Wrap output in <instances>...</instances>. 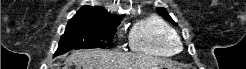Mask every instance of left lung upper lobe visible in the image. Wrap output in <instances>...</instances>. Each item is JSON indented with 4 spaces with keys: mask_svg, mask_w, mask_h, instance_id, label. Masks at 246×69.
Here are the masks:
<instances>
[{
    "mask_svg": "<svg viewBox=\"0 0 246 69\" xmlns=\"http://www.w3.org/2000/svg\"><path fill=\"white\" fill-rule=\"evenodd\" d=\"M157 12L159 13V15H161L164 19H166L167 21L173 23L174 25H177L172 18L169 16L168 12L166 11L165 8H157Z\"/></svg>",
    "mask_w": 246,
    "mask_h": 69,
    "instance_id": "1",
    "label": "left lung upper lobe"
}]
</instances>
